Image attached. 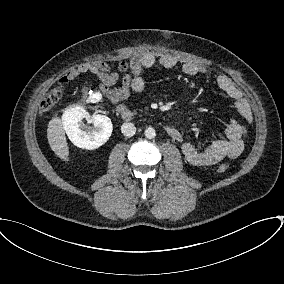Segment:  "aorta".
Segmentation results:
<instances>
[{
    "label": "aorta",
    "instance_id": "762f6f07",
    "mask_svg": "<svg viewBox=\"0 0 284 284\" xmlns=\"http://www.w3.org/2000/svg\"><path fill=\"white\" fill-rule=\"evenodd\" d=\"M145 137L148 138V139H153L155 136H156V131L154 128L152 127H148L145 132Z\"/></svg>",
    "mask_w": 284,
    "mask_h": 284
}]
</instances>
